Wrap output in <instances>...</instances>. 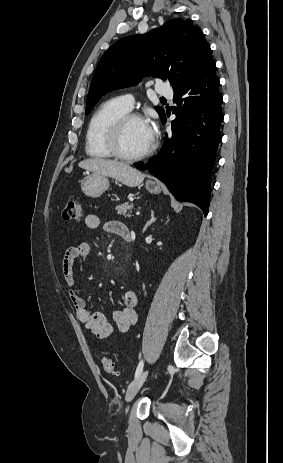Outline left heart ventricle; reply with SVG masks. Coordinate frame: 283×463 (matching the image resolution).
<instances>
[{
  "mask_svg": "<svg viewBox=\"0 0 283 463\" xmlns=\"http://www.w3.org/2000/svg\"><path fill=\"white\" fill-rule=\"evenodd\" d=\"M148 123L141 120L130 121L121 136V149L130 155L144 152L151 145Z\"/></svg>",
  "mask_w": 283,
  "mask_h": 463,
  "instance_id": "b2bd125f",
  "label": "left heart ventricle"
}]
</instances>
